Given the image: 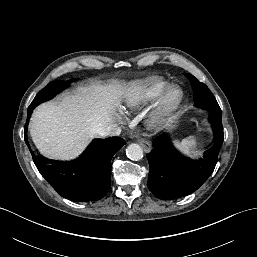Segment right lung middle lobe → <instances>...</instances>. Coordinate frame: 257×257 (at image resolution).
<instances>
[{"label":"right lung middle lobe","mask_w":257,"mask_h":257,"mask_svg":"<svg viewBox=\"0 0 257 257\" xmlns=\"http://www.w3.org/2000/svg\"><path fill=\"white\" fill-rule=\"evenodd\" d=\"M69 84V81L63 82V81H52L50 82L44 89H42L34 98L32 103L29 107H31V110L39 103L48 100L52 98L54 95H56L59 91L67 87Z\"/></svg>","instance_id":"obj_1"}]
</instances>
